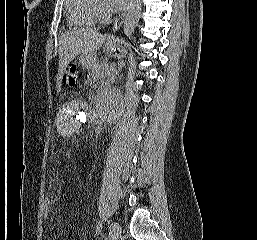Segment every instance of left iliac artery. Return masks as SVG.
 Masks as SVG:
<instances>
[{
	"instance_id": "obj_1",
	"label": "left iliac artery",
	"mask_w": 257,
	"mask_h": 240,
	"mask_svg": "<svg viewBox=\"0 0 257 240\" xmlns=\"http://www.w3.org/2000/svg\"><path fill=\"white\" fill-rule=\"evenodd\" d=\"M101 228H102V223L99 222V223L97 224V227H96V234H99V233L101 232Z\"/></svg>"
}]
</instances>
